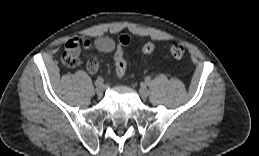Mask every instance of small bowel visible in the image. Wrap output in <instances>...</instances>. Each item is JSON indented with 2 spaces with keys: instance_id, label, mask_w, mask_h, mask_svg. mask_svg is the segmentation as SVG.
Listing matches in <instances>:
<instances>
[{
  "instance_id": "c3829d8e",
  "label": "small bowel",
  "mask_w": 259,
  "mask_h": 156,
  "mask_svg": "<svg viewBox=\"0 0 259 156\" xmlns=\"http://www.w3.org/2000/svg\"><path fill=\"white\" fill-rule=\"evenodd\" d=\"M92 46L101 52L110 53L115 49V42L110 37L101 36L94 41L87 37H74L66 43V49L72 51L76 55L79 54L81 48L88 49ZM87 69L90 73L97 72L98 62L96 60H90L87 63Z\"/></svg>"
}]
</instances>
